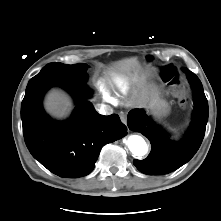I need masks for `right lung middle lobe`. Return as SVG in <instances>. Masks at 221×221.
<instances>
[{
    "instance_id": "1",
    "label": "right lung middle lobe",
    "mask_w": 221,
    "mask_h": 221,
    "mask_svg": "<svg viewBox=\"0 0 221 221\" xmlns=\"http://www.w3.org/2000/svg\"><path fill=\"white\" fill-rule=\"evenodd\" d=\"M88 66L84 63L67 65L63 63H50L42 68L36 78H51L66 83H85L88 76L86 74Z\"/></svg>"
}]
</instances>
